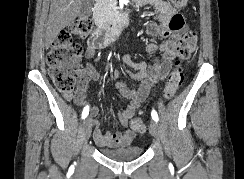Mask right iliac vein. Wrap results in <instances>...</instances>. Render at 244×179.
Masks as SVG:
<instances>
[{"label": "right iliac vein", "instance_id": "obj_1", "mask_svg": "<svg viewBox=\"0 0 244 179\" xmlns=\"http://www.w3.org/2000/svg\"><path fill=\"white\" fill-rule=\"evenodd\" d=\"M92 132V119L90 117H87L82 124L81 129V137L83 140H87L90 138Z\"/></svg>", "mask_w": 244, "mask_h": 179}]
</instances>
